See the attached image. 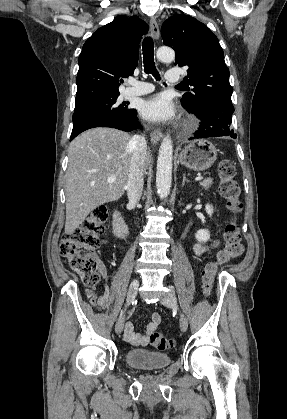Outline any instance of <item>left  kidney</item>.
Here are the masks:
<instances>
[{"label": "left kidney", "instance_id": "obj_1", "mask_svg": "<svg viewBox=\"0 0 287 419\" xmlns=\"http://www.w3.org/2000/svg\"><path fill=\"white\" fill-rule=\"evenodd\" d=\"M207 214L211 217L213 214V207L209 204L205 206ZM195 238L199 242H206L210 239V233L207 229L198 230L195 234Z\"/></svg>", "mask_w": 287, "mask_h": 419}]
</instances>
